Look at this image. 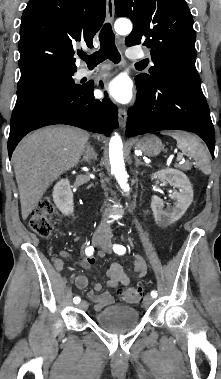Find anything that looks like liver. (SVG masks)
Masks as SVG:
<instances>
[{
  "label": "liver",
  "mask_w": 221,
  "mask_h": 379,
  "mask_svg": "<svg viewBox=\"0 0 221 379\" xmlns=\"http://www.w3.org/2000/svg\"><path fill=\"white\" fill-rule=\"evenodd\" d=\"M88 139L89 134L84 130L52 126L39 129L21 140L12 161L24 220L48 187L78 164Z\"/></svg>",
  "instance_id": "6515ba94"
}]
</instances>
